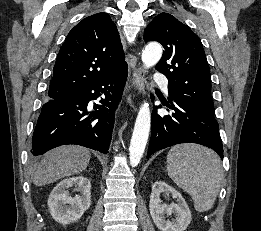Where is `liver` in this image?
I'll list each match as a JSON object with an SVG mask.
<instances>
[{"mask_svg":"<svg viewBox=\"0 0 261 231\" xmlns=\"http://www.w3.org/2000/svg\"><path fill=\"white\" fill-rule=\"evenodd\" d=\"M90 151L76 145L61 146L47 152L33 174V183L43 186L75 175L89 164Z\"/></svg>","mask_w":261,"mask_h":231,"instance_id":"liver-1","label":"liver"}]
</instances>
